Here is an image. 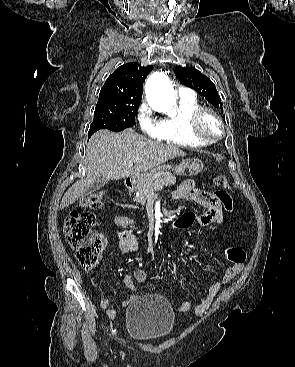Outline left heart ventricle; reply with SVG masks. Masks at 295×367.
<instances>
[{"mask_svg": "<svg viewBox=\"0 0 295 367\" xmlns=\"http://www.w3.org/2000/svg\"><path fill=\"white\" fill-rule=\"evenodd\" d=\"M203 129L205 133L211 137L219 133V125L212 117H206L203 122Z\"/></svg>", "mask_w": 295, "mask_h": 367, "instance_id": "1", "label": "left heart ventricle"}]
</instances>
